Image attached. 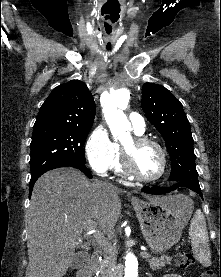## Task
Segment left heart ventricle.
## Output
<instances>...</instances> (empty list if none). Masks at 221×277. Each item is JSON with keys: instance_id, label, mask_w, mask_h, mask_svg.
I'll list each match as a JSON object with an SVG mask.
<instances>
[{"instance_id": "1", "label": "left heart ventricle", "mask_w": 221, "mask_h": 277, "mask_svg": "<svg viewBox=\"0 0 221 277\" xmlns=\"http://www.w3.org/2000/svg\"><path fill=\"white\" fill-rule=\"evenodd\" d=\"M131 141L124 145H130ZM136 170L144 177H155L161 170L162 161L159 151L151 145L140 148L134 156Z\"/></svg>"}]
</instances>
